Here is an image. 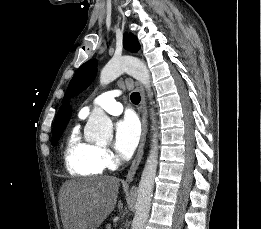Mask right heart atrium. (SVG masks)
Returning a JSON list of instances; mask_svg holds the SVG:
<instances>
[{"label":"right heart atrium","mask_w":261,"mask_h":229,"mask_svg":"<svg viewBox=\"0 0 261 229\" xmlns=\"http://www.w3.org/2000/svg\"><path fill=\"white\" fill-rule=\"evenodd\" d=\"M100 161L102 167L108 170H115L120 165V159L107 147H102Z\"/></svg>","instance_id":"obj_1"}]
</instances>
